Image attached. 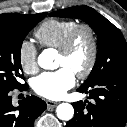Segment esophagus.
I'll return each mask as SVG.
<instances>
[{"label": "esophagus", "instance_id": "34e87169", "mask_svg": "<svg viewBox=\"0 0 127 127\" xmlns=\"http://www.w3.org/2000/svg\"><path fill=\"white\" fill-rule=\"evenodd\" d=\"M46 104H47V107L50 109V108H54L58 105L57 102H54V101H51V100H47L46 101Z\"/></svg>", "mask_w": 127, "mask_h": 127}]
</instances>
